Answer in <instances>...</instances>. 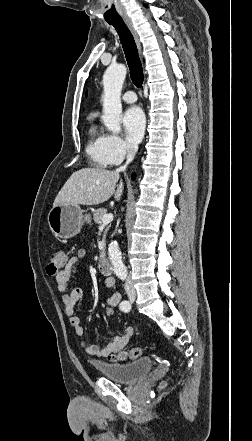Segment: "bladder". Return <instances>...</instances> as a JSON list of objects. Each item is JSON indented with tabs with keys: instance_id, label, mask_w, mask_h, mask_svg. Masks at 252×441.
<instances>
[{
	"instance_id": "1",
	"label": "bladder",
	"mask_w": 252,
	"mask_h": 441,
	"mask_svg": "<svg viewBox=\"0 0 252 441\" xmlns=\"http://www.w3.org/2000/svg\"><path fill=\"white\" fill-rule=\"evenodd\" d=\"M96 369L106 378L117 383L132 384L146 377L153 367L150 357H141L133 362H103L95 364Z\"/></svg>"
}]
</instances>
